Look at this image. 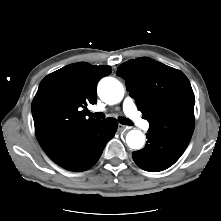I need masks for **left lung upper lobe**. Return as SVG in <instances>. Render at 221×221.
<instances>
[{
    "label": "left lung upper lobe",
    "mask_w": 221,
    "mask_h": 221,
    "mask_svg": "<svg viewBox=\"0 0 221 221\" xmlns=\"http://www.w3.org/2000/svg\"><path fill=\"white\" fill-rule=\"evenodd\" d=\"M138 109L150 123L149 132L186 148L194 130V93L179 70L148 57L123 63L116 73Z\"/></svg>",
    "instance_id": "5c2ea615"
}]
</instances>
